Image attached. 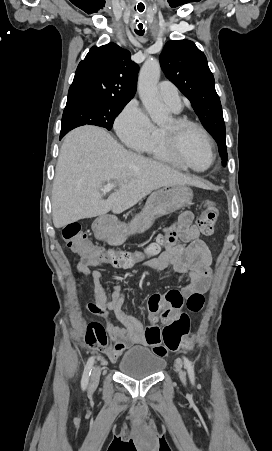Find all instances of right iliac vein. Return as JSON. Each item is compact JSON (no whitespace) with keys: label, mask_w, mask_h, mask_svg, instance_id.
<instances>
[{"label":"right iliac vein","mask_w":272,"mask_h":451,"mask_svg":"<svg viewBox=\"0 0 272 451\" xmlns=\"http://www.w3.org/2000/svg\"><path fill=\"white\" fill-rule=\"evenodd\" d=\"M100 374H101V368H100V366H96L93 369L91 377H90V390L91 391L99 383Z\"/></svg>","instance_id":"obj_1"}]
</instances>
